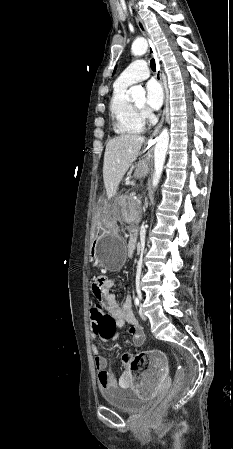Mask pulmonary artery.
Masks as SVG:
<instances>
[{
	"label": "pulmonary artery",
	"mask_w": 233,
	"mask_h": 449,
	"mask_svg": "<svg viewBox=\"0 0 233 449\" xmlns=\"http://www.w3.org/2000/svg\"><path fill=\"white\" fill-rule=\"evenodd\" d=\"M150 71L144 60L133 61L117 78L116 82L121 85H132L149 77Z\"/></svg>",
	"instance_id": "1"
}]
</instances>
